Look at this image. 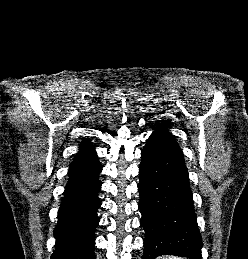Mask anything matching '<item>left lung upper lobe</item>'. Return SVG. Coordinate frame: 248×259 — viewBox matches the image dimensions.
<instances>
[{"instance_id": "obj_1", "label": "left lung upper lobe", "mask_w": 248, "mask_h": 259, "mask_svg": "<svg viewBox=\"0 0 248 259\" xmlns=\"http://www.w3.org/2000/svg\"><path fill=\"white\" fill-rule=\"evenodd\" d=\"M148 140L159 142L164 144L170 148L178 150L182 153V150L178 146V144L173 139V135H171L164 127L160 126L156 129V131L150 136ZM183 154V153H182Z\"/></svg>"}]
</instances>
